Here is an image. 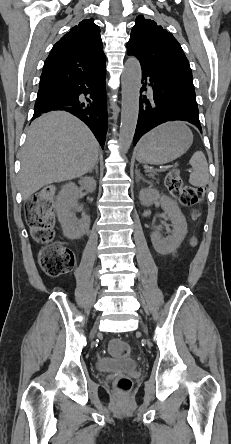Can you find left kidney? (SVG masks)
<instances>
[{"label": "left kidney", "instance_id": "obj_1", "mask_svg": "<svg viewBox=\"0 0 231 444\" xmlns=\"http://www.w3.org/2000/svg\"><path fill=\"white\" fill-rule=\"evenodd\" d=\"M158 199L160 200L162 209L171 220L172 231L167 238H163L159 232H154L151 240L154 249L158 253L167 255L178 248L184 240L187 234V222L177 203L168 196L161 195L159 191L151 187L144 188L139 193V200L144 206H150Z\"/></svg>", "mask_w": 231, "mask_h": 444}]
</instances>
